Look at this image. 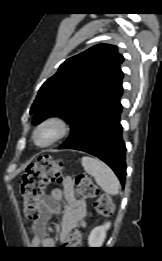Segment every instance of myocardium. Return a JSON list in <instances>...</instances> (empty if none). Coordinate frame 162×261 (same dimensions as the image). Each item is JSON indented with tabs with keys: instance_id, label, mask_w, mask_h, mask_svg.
<instances>
[{
	"instance_id": "myocardium-1",
	"label": "myocardium",
	"mask_w": 162,
	"mask_h": 261,
	"mask_svg": "<svg viewBox=\"0 0 162 261\" xmlns=\"http://www.w3.org/2000/svg\"><path fill=\"white\" fill-rule=\"evenodd\" d=\"M69 131L68 122L60 116H50L42 120L34 129L32 141L38 148H47L60 139H62ZM42 132H48L45 141L39 142L38 136Z\"/></svg>"
}]
</instances>
